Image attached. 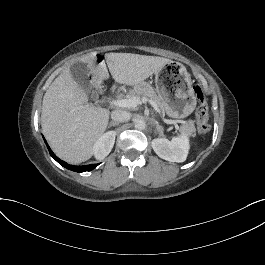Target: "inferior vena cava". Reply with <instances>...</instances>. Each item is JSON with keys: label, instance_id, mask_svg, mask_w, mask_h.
<instances>
[{"label": "inferior vena cava", "instance_id": "602c4592", "mask_svg": "<svg viewBox=\"0 0 265 265\" xmlns=\"http://www.w3.org/2000/svg\"><path fill=\"white\" fill-rule=\"evenodd\" d=\"M111 118L114 122H126L131 118V114L127 111L115 110L111 114Z\"/></svg>", "mask_w": 265, "mask_h": 265}]
</instances>
